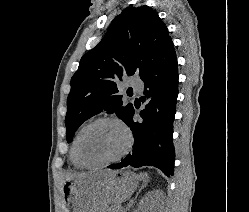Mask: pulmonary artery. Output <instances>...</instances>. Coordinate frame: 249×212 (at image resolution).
Returning a JSON list of instances; mask_svg holds the SVG:
<instances>
[{"mask_svg": "<svg viewBox=\"0 0 249 212\" xmlns=\"http://www.w3.org/2000/svg\"><path fill=\"white\" fill-rule=\"evenodd\" d=\"M132 87L137 93H141L143 91V86L141 84H132Z\"/></svg>", "mask_w": 249, "mask_h": 212, "instance_id": "1", "label": "pulmonary artery"}]
</instances>
